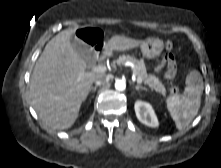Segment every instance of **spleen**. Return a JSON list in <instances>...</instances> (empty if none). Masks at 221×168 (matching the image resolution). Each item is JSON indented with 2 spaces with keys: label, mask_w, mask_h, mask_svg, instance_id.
<instances>
[{
  "label": "spleen",
  "mask_w": 221,
  "mask_h": 168,
  "mask_svg": "<svg viewBox=\"0 0 221 168\" xmlns=\"http://www.w3.org/2000/svg\"><path fill=\"white\" fill-rule=\"evenodd\" d=\"M186 86L183 95H174L166 101V107L178 130L188 126L200 108L203 79L199 71L192 70L187 75Z\"/></svg>",
  "instance_id": "obj_1"
}]
</instances>
